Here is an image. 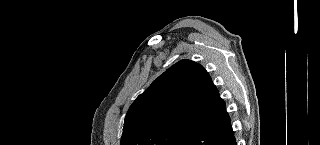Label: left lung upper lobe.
I'll use <instances>...</instances> for the list:
<instances>
[{"instance_id": "obj_1", "label": "left lung upper lobe", "mask_w": 320, "mask_h": 145, "mask_svg": "<svg viewBox=\"0 0 320 145\" xmlns=\"http://www.w3.org/2000/svg\"><path fill=\"white\" fill-rule=\"evenodd\" d=\"M215 104L212 80L196 62L181 60L161 74L129 108L121 145H179Z\"/></svg>"}]
</instances>
